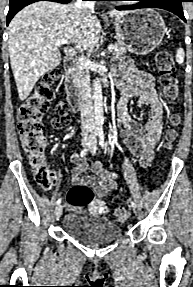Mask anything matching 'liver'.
<instances>
[{"instance_id":"1","label":"liver","mask_w":193,"mask_h":287,"mask_svg":"<svg viewBox=\"0 0 193 287\" xmlns=\"http://www.w3.org/2000/svg\"><path fill=\"white\" fill-rule=\"evenodd\" d=\"M128 11H110L121 17ZM101 24L97 16L50 1L33 3L15 15L9 24L8 51L20 100H25L36 82L61 62L55 40H68L67 56L93 49L99 42Z\"/></svg>"}]
</instances>
